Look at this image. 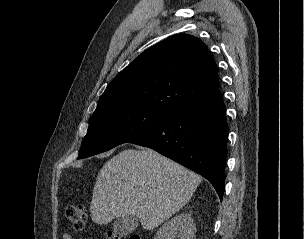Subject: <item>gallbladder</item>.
Returning a JSON list of instances; mask_svg holds the SVG:
<instances>
[{"mask_svg":"<svg viewBox=\"0 0 304 239\" xmlns=\"http://www.w3.org/2000/svg\"><path fill=\"white\" fill-rule=\"evenodd\" d=\"M138 226V219L133 216H122L113 223V231L120 236L132 233Z\"/></svg>","mask_w":304,"mask_h":239,"instance_id":"obj_1","label":"gallbladder"}]
</instances>
